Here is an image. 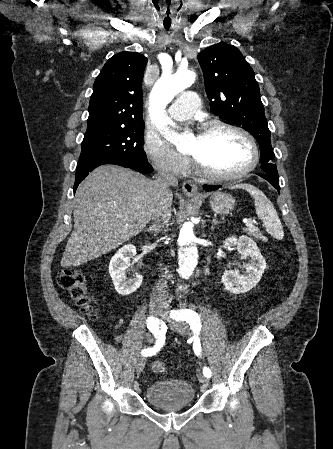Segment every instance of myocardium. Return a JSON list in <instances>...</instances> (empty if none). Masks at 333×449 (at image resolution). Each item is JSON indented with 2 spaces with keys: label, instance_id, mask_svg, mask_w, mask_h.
I'll list each match as a JSON object with an SVG mask.
<instances>
[{
  "label": "myocardium",
  "instance_id": "myocardium-1",
  "mask_svg": "<svg viewBox=\"0 0 333 449\" xmlns=\"http://www.w3.org/2000/svg\"><path fill=\"white\" fill-rule=\"evenodd\" d=\"M221 130L230 131L243 137L249 144L251 150V159L244 168L236 172L228 174H217L209 171L196 157L191 155V159L198 173L207 180L212 182H228L239 179L250 173L252 170H254L259 161V151L256 140L247 130L222 121L208 122L202 126V133H209Z\"/></svg>",
  "mask_w": 333,
  "mask_h": 449
}]
</instances>
